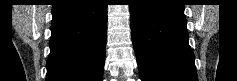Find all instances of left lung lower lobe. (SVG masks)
Here are the masks:
<instances>
[{"label": "left lung lower lobe", "instance_id": "1", "mask_svg": "<svg viewBox=\"0 0 237 81\" xmlns=\"http://www.w3.org/2000/svg\"><path fill=\"white\" fill-rule=\"evenodd\" d=\"M132 41L141 81H198L181 0H134Z\"/></svg>", "mask_w": 237, "mask_h": 81}]
</instances>
